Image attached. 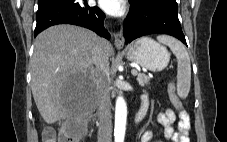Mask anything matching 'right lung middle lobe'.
<instances>
[{
  "label": "right lung middle lobe",
  "instance_id": "dd1d6c3e",
  "mask_svg": "<svg viewBox=\"0 0 227 142\" xmlns=\"http://www.w3.org/2000/svg\"><path fill=\"white\" fill-rule=\"evenodd\" d=\"M59 1H62V0H38V6L41 7V6L53 4Z\"/></svg>",
  "mask_w": 227,
  "mask_h": 142
}]
</instances>
